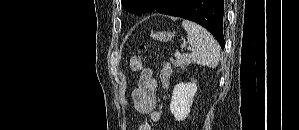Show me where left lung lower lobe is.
Returning <instances> with one entry per match:
<instances>
[{"mask_svg": "<svg viewBox=\"0 0 299 130\" xmlns=\"http://www.w3.org/2000/svg\"><path fill=\"white\" fill-rule=\"evenodd\" d=\"M154 9L159 13L185 18L202 25L224 49V0H156L147 7L146 12Z\"/></svg>", "mask_w": 299, "mask_h": 130, "instance_id": "1", "label": "left lung lower lobe"}]
</instances>
